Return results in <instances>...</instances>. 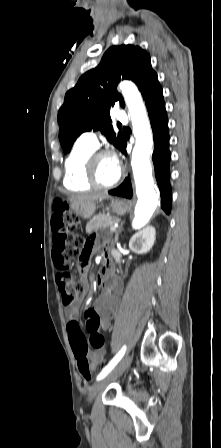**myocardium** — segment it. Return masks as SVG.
Listing matches in <instances>:
<instances>
[{"label": "myocardium", "mask_w": 221, "mask_h": 448, "mask_svg": "<svg viewBox=\"0 0 221 448\" xmlns=\"http://www.w3.org/2000/svg\"><path fill=\"white\" fill-rule=\"evenodd\" d=\"M114 157V153L109 150H94L89 154L85 161V177L86 180L93 186L99 189H111L119 184L122 178V170L119 168V172L114 181L108 184L101 183L96 174V163L100 156Z\"/></svg>", "instance_id": "obj_1"}]
</instances>
